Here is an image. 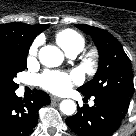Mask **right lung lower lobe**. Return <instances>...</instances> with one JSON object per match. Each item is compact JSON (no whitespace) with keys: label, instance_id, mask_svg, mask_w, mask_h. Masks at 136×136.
I'll return each mask as SVG.
<instances>
[{"label":"right lung lower lobe","instance_id":"1","mask_svg":"<svg viewBox=\"0 0 136 136\" xmlns=\"http://www.w3.org/2000/svg\"><path fill=\"white\" fill-rule=\"evenodd\" d=\"M49 103V95L39 90L23 101L15 93L0 96V136L31 134L38 123V110Z\"/></svg>","mask_w":136,"mask_h":136}]
</instances>
